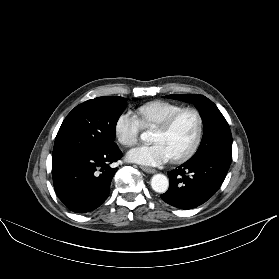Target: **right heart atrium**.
<instances>
[{
    "label": "right heart atrium",
    "mask_w": 279,
    "mask_h": 279,
    "mask_svg": "<svg viewBox=\"0 0 279 279\" xmlns=\"http://www.w3.org/2000/svg\"><path fill=\"white\" fill-rule=\"evenodd\" d=\"M142 125L131 112L121 113L115 122V135L118 141L127 147L135 145L140 136Z\"/></svg>",
    "instance_id": "obj_1"
}]
</instances>
